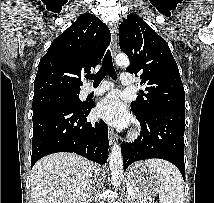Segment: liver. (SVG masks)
Instances as JSON below:
<instances>
[{
    "mask_svg": "<svg viewBox=\"0 0 214 203\" xmlns=\"http://www.w3.org/2000/svg\"><path fill=\"white\" fill-rule=\"evenodd\" d=\"M93 170V163L74 153L42 158L31 171L33 203H89Z\"/></svg>",
    "mask_w": 214,
    "mask_h": 203,
    "instance_id": "6515ba94",
    "label": "liver"
}]
</instances>
